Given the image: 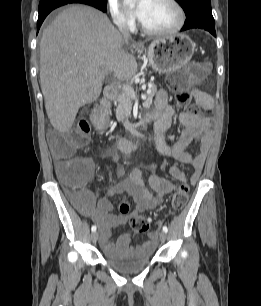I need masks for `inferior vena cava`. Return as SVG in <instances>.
<instances>
[{"label":"inferior vena cava","instance_id":"inferior-vena-cava-1","mask_svg":"<svg viewBox=\"0 0 261 306\" xmlns=\"http://www.w3.org/2000/svg\"><path fill=\"white\" fill-rule=\"evenodd\" d=\"M116 25L124 39H129L131 37L129 28L125 21L116 20Z\"/></svg>","mask_w":261,"mask_h":306}]
</instances>
